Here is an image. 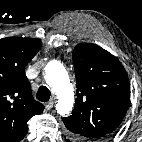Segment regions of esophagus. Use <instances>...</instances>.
Instances as JSON below:
<instances>
[{
  "instance_id": "1",
  "label": "esophagus",
  "mask_w": 142,
  "mask_h": 142,
  "mask_svg": "<svg viewBox=\"0 0 142 142\" xmlns=\"http://www.w3.org/2000/svg\"><path fill=\"white\" fill-rule=\"evenodd\" d=\"M54 106V102L53 101H49L45 104V109L46 110H50L52 109V107Z\"/></svg>"
}]
</instances>
